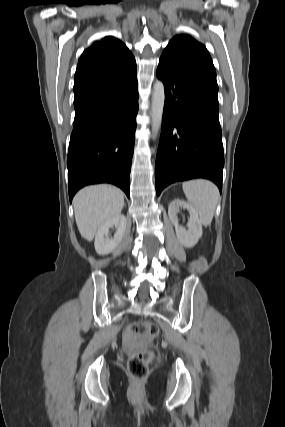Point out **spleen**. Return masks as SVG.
<instances>
[{
  "mask_svg": "<svg viewBox=\"0 0 285 427\" xmlns=\"http://www.w3.org/2000/svg\"><path fill=\"white\" fill-rule=\"evenodd\" d=\"M184 194L194 207L203 225L211 224L219 200V191L208 180L196 179L183 182Z\"/></svg>",
  "mask_w": 285,
  "mask_h": 427,
  "instance_id": "1",
  "label": "spleen"
}]
</instances>
